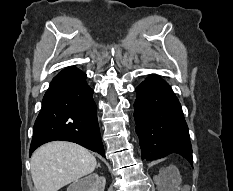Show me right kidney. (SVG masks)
Listing matches in <instances>:
<instances>
[{"label":"right kidney","instance_id":"obj_1","mask_svg":"<svg viewBox=\"0 0 233 191\" xmlns=\"http://www.w3.org/2000/svg\"><path fill=\"white\" fill-rule=\"evenodd\" d=\"M106 179L93 173L72 183L67 191H104Z\"/></svg>","mask_w":233,"mask_h":191}]
</instances>
